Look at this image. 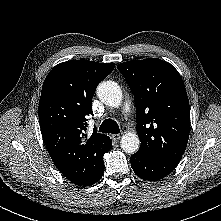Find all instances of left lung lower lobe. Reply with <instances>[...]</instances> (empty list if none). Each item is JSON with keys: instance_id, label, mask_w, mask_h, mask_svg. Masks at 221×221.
<instances>
[{"instance_id": "obj_1", "label": "left lung lower lobe", "mask_w": 221, "mask_h": 221, "mask_svg": "<svg viewBox=\"0 0 221 221\" xmlns=\"http://www.w3.org/2000/svg\"><path fill=\"white\" fill-rule=\"evenodd\" d=\"M130 163L135 174L148 181H156L166 177L178 165L177 162L153 159L138 152L130 157Z\"/></svg>"}]
</instances>
